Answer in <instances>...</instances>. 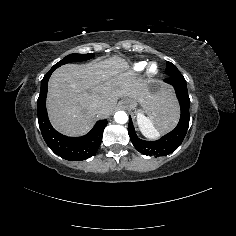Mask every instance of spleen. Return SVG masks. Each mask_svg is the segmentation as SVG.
<instances>
[{"label": "spleen", "mask_w": 236, "mask_h": 236, "mask_svg": "<svg viewBox=\"0 0 236 236\" xmlns=\"http://www.w3.org/2000/svg\"><path fill=\"white\" fill-rule=\"evenodd\" d=\"M177 112L175 109L170 110V115ZM168 115H165L163 117H156V116H147L145 117L144 115H137L136 117V122L138 125V129L140 131V134L150 140V141H155L158 140L161 135L159 133L158 127L163 126L164 122L162 119L167 118Z\"/></svg>", "instance_id": "1"}]
</instances>
